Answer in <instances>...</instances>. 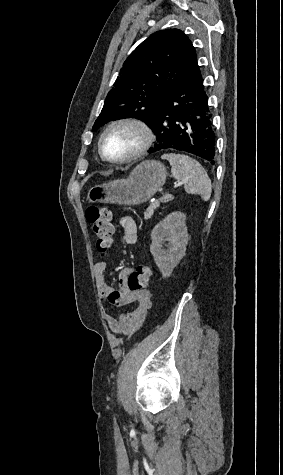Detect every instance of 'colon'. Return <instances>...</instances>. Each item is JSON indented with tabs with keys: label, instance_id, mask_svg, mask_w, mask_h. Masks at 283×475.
Listing matches in <instances>:
<instances>
[{
	"label": "colon",
	"instance_id": "1",
	"mask_svg": "<svg viewBox=\"0 0 283 475\" xmlns=\"http://www.w3.org/2000/svg\"><path fill=\"white\" fill-rule=\"evenodd\" d=\"M86 218L95 236L96 249L99 254H106L114 244V226L110 219L107 207L89 206L86 209ZM152 277V270L146 263L139 265L127 277V289L138 291L144 289Z\"/></svg>",
	"mask_w": 283,
	"mask_h": 475
}]
</instances>
